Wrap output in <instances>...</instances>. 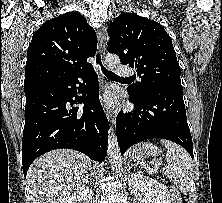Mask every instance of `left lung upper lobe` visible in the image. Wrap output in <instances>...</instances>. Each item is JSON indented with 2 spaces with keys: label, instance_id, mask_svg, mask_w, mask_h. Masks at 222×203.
<instances>
[{
  "label": "left lung upper lobe",
  "instance_id": "obj_1",
  "mask_svg": "<svg viewBox=\"0 0 222 203\" xmlns=\"http://www.w3.org/2000/svg\"><path fill=\"white\" fill-rule=\"evenodd\" d=\"M107 31L109 53L117 54L122 64L135 67L141 78L140 82L128 86V92L141 96L160 86L183 89L172 40L158 22L122 13Z\"/></svg>",
  "mask_w": 222,
  "mask_h": 203
}]
</instances>
